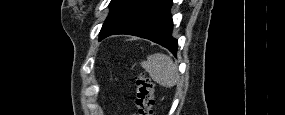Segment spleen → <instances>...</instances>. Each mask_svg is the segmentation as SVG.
I'll list each match as a JSON object with an SVG mask.
<instances>
[{"mask_svg": "<svg viewBox=\"0 0 285 115\" xmlns=\"http://www.w3.org/2000/svg\"><path fill=\"white\" fill-rule=\"evenodd\" d=\"M141 66L149 73V76L159 85L171 88L179 81L177 66L173 60L162 53L147 56V60L141 62Z\"/></svg>", "mask_w": 285, "mask_h": 115, "instance_id": "1", "label": "spleen"}]
</instances>
